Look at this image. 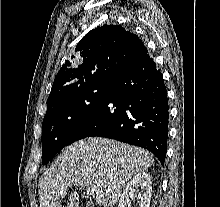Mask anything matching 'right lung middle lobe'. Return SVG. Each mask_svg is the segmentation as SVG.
Wrapping results in <instances>:
<instances>
[{"mask_svg":"<svg viewBox=\"0 0 220 207\" xmlns=\"http://www.w3.org/2000/svg\"><path fill=\"white\" fill-rule=\"evenodd\" d=\"M107 86L108 83L84 86L48 103L42 126V164L69 145L75 130L99 106Z\"/></svg>","mask_w":220,"mask_h":207,"instance_id":"1","label":"right lung middle lobe"}]
</instances>
